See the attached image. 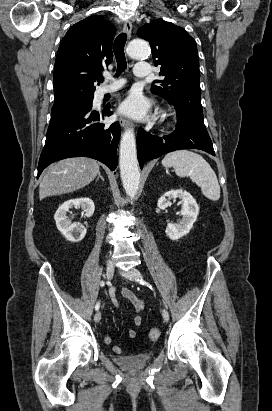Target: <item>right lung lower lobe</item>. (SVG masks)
<instances>
[{
    "mask_svg": "<svg viewBox=\"0 0 272 411\" xmlns=\"http://www.w3.org/2000/svg\"><path fill=\"white\" fill-rule=\"evenodd\" d=\"M110 115L109 104L94 110L92 102L51 115L38 164V177L51 163L78 156L94 158L115 170L120 125L118 122H102L104 116Z\"/></svg>",
    "mask_w": 272,
    "mask_h": 411,
    "instance_id": "1",
    "label": "right lung lower lobe"
}]
</instances>
